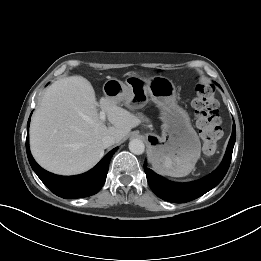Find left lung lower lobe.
I'll return each mask as SVG.
<instances>
[{
  "instance_id": "obj_1",
  "label": "left lung lower lobe",
  "mask_w": 261,
  "mask_h": 261,
  "mask_svg": "<svg viewBox=\"0 0 261 261\" xmlns=\"http://www.w3.org/2000/svg\"><path fill=\"white\" fill-rule=\"evenodd\" d=\"M235 139L236 128L235 123H233L232 135L223 161L219 167L208 176L190 183H174L157 175L151 169L144 168L149 186L158 197L173 203H186L202 196L217 186L227 173ZM144 166L147 167L146 163H144Z\"/></svg>"
}]
</instances>
